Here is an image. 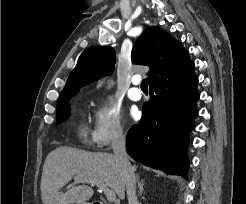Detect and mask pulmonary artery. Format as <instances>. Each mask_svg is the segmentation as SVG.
<instances>
[{
  "mask_svg": "<svg viewBox=\"0 0 246 204\" xmlns=\"http://www.w3.org/2000/svg\"><path fill=\"white\" fill-rule=\"evenodd\" d=\"M140 77L135 76L132 78V87L128 90V97L132 101H139L142 98V92L137 87L140 83Z\"/></svg>",
  "mask_w": 246,
  "mask_h": 204,
  "instance_id": "obj_1",
  "label": "pulmonary artery"
}]
</instances>
